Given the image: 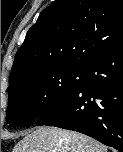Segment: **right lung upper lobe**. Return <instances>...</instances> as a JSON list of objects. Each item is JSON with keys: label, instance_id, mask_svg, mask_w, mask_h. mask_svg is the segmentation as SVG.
<instances>
[{"label": "right lung upper lobe", "instance_id": "1", "mask_svg": "<svg viewBox=\"0 0 123 152\" xmlns=\"http://www.w3.org/2000/svg\"><path fill=\"white\" fill-rule=\"evenodd\" d=\"M123 43V0H56L28 30L9 89L23 77L60 68H85Z\"/></svg>", "mask_w": 123, "mask_h": 152}]
</instances>
